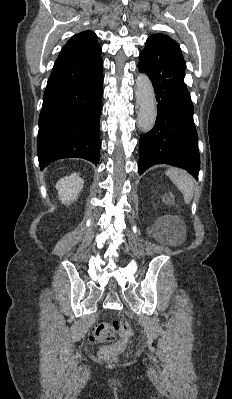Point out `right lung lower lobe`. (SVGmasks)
Wrapping results in <instances>:
<instances>
[{
    "label": "right lung lower lobe",
    "mask_w": 232,
    "mask_h": 399,
    "mask_svg": "<svg viewBox=\"0 0 232 399\" xmlns=\"http://www.w3.org/2000/svg\"><path fill=\"white\" fill-rule=\"evenodd\" d=\"M100 53L57 58L38 122L37 154L41 169L69 157L98 164L103 95Z\"/></svg>",
    "instance_id": "right-lung-lower-lobe-1"
}]
</instances>
